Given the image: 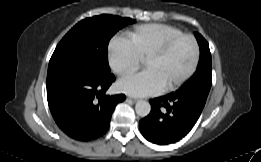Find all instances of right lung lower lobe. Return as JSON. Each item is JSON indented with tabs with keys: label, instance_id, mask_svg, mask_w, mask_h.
Instances as JSON below:
<instances>
[{
	"label": "right lung lower lobe",
	"instance_id": "obj_1",
	"mask_svg": "<svg viewBox=\"0 0 261 162\" xmlns=\"http://www.w3.org/2000/svg\"><path fill=\"white\" fill-rule=\"evenodd\" d=\"M113 81V74H96L79 68L47 77V100L59 128L79 141L105 134L115 106L125 100L123 94H104Z\"/></svg>",
	"mask_w": 261,
	"mask_h": 162
}]
</instances>
